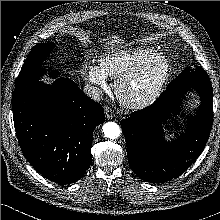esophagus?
<instances>
[{"instance_id": "34e87169", "label": "esophagus", "mask_w": 220, "mask_h": 220, "mask_svg": "<svg viewBox=\"0 0 220 220\" xmlns=\"http://www.w3.org/2000/svg\"><path fill=\"white\" fill-rule=\"evenodd\" d=\"M105 116L107 119H112L115 117V113L110 107L106 106L105 107Z\"/></svg>"}]
</instances>
